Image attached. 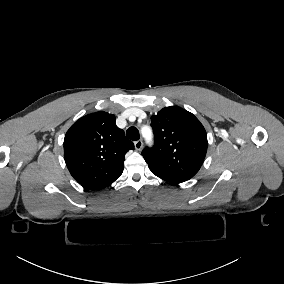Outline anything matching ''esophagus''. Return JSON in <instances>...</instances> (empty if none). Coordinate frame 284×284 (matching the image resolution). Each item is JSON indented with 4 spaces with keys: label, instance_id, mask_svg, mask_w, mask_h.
Returning <instances> with one entry per match:
<instances>
[{
    "label": "esophagus",
    "instance_id": "1",
    "mask_svg": "<svg viewBox=\"0 0 284 284\" xmlns=\"http://www.w3.org/2000/svg\"><path fill=\"white\" fill-rule=\"evenodd\" d=\"M135 149L136 150H141V148L143 147V141L142 140H138L134 143Z\"/></svg>",
    "mask_w": 284,
    "mask_h": 284
}]
</instances>
